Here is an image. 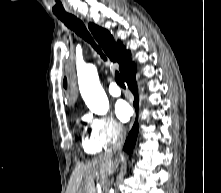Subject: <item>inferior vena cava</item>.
<instances>
[{
    "mask_svg": "<svg viewBox=\"0 0 221 193\" xmlns=\"http://www.w3.org/2000/svg\"><path fill=\"white\" fill-rule=\"evenodd\" d=\"M124 137H125V131L121 126H119L113 135L111 148L108 152L115 153L116 151H119L122 148Z\"/></svg>",
    "mask_w": 221,
    "mask_h": 193,
    "instance_id": "inferior-vena-cava-1",
    "label": "inferior vena cava"
}]
</instances>
